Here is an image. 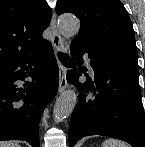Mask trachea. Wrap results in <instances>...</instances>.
I'll return each instance as SVG.
<instances>
[{
	"label": "trachea",
	"mask_w": 145,
	"mask_h": 147,
	"mask_svg": "<svg viewBox=\"0 0 145 147\" xmlns=\"http://www.w3.org/2000/svg\"><path fill=\"white\" fill-rule=\"evenodd\" d=\"M58 57H59L60 61L64 65H71V64H73L72 59L68 55H66L65 53L58 52Z\"/></svg>",
	"instance_id": "1"
}]
</instances>
